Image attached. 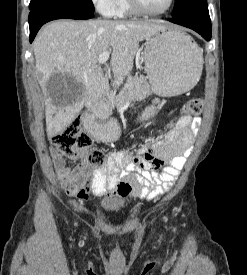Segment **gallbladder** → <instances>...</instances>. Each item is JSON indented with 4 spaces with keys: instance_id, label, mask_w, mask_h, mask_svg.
<instances>
[{
    "instance_id": "gallbladder-1",
    "label": "gallbladder",
    "mask_w": 247,
    "mask_h": 275,
    "mask_svg": "<svg viewBox=\"0 0 247 275\" xmlns=\"http://www.w3.org/2000/svg\"><path fill=\"white\" fill-rule=\"evenodd\" d=\"M48 96L54 98H65L75 96L78 92L81 93L82 87L75 78L69 74H61L56 72L46 83Z\"/></svg>"
}]
</instances>
